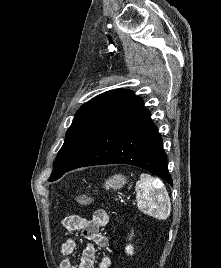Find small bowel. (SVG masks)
<instances>
[{
  "instance_id": "1",
  "label": "small bowel",
  "mask_w": 221,
  "mask_h": 268,
  "mask_svg": "<svg viewBox=\"0 0 221 268\" xmlns=\"http://www.w3.org/2000/svg\"><path fill=\"white\" fill-rule=\"evenodd\" d=\"M109 223V216L105 210H96L90 219L70 215L63 219V226L69 231H81L86 239L93 242L101 248H108V238L102 234L101 229ZM76 249V239L69 237L60 248L63 256H72ZM111 259L108 256L102 257L99 261L95 260V248L89 244L83 251L78 268H110ZM60 268H77L73 265L70 258H65L60 263Z\"/></svg>"
}]
</instances>
